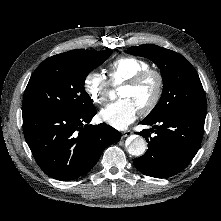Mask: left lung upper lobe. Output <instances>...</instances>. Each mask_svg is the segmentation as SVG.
<instances>
[{
    "mask_svg": "<svg viewBox=\"0 0 221 221\" xmlns=\"http://www.w3.org/2000/svg\"><path fill=\"white\" fill-rule=\"evenodd\" d=\"M126 52L152 60L162 75L161 99L147 117L172 113L206 115V97L199 76L181 54L154 44L133 46Z\"/></svg>",
    "mask_w": 221,
    "mask_h": 221,
    "instance_id": "1",
    "label": "left lung upper lobe"
}]
</instances>
